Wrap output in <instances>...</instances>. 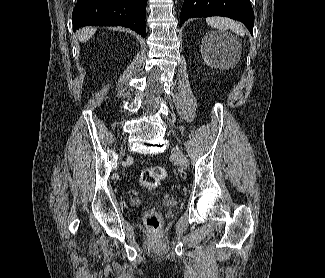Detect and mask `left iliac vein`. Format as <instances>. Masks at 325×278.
Returning a JSON list of instances; mask_svg holds the SVG:
<instances>
[{
	"instance_id": "obj_1",
	"label": "left iliac vein",
	"mask_w": 325,
	"mask_h": 278,
	"mask_svg": "<svg viewBox=\"0 0 325 278\" xmlns=\"http://www.w3.org/2000/svg\"><path fill=\"white\" fill-rule=\"evenodd\" d=\"M172 155L183 169L187 168V159L185 155L176 147L172 149Z\"/></svg>"
}]
</instances>
